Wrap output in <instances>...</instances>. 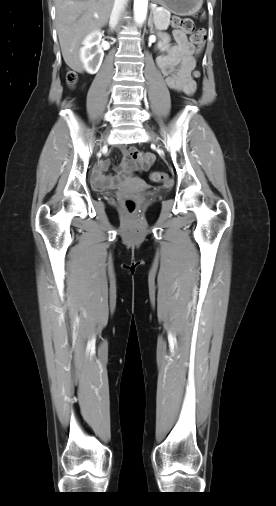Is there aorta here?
Masks as SVG:
<instances>
[{
    "label": "aorta",
    "instance_id": "obj_1",
    "mask_svg": "<svg viewBox=\"0 0 276 506\" xmlns=\"http://www.w3.org/2000/svg\"><path fill=\"white\" fill-rule=\"evenodd\" d=\"M148 0H134V17L138 26L143 25L147 15Z\"/></svg>",
    "mask_w": 276,
    "mask_h": 506
}]
</instances>
